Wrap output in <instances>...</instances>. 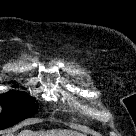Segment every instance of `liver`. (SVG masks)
I'll use <instances>...</instances> for the list:
<instances>
[{"label":"liver","instance_id":"6515ba94","mask_svg":"<svg viewBox=\"0 0 136 136\" xmlns=\"http://www.w3.org/2000/svg\"><path fill=\"white\" fill-rule=\"evenodd\" d=\"M19 136H83L80 133L67 130H53L49 132L22 131Z\"/></svg>","mask_w":136,"mask_h":136}]
</instances>
